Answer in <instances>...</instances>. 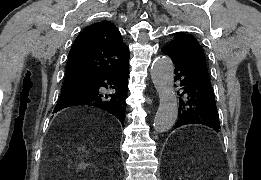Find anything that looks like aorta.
Wrapping results in <instances>:
<instances>
[{
    "label": "aorta",
    "mask_w": 261,
    "mask_h": 180,
    "mask_svg": "<svg viewBox=\"0 0 261 180\" xmlns=\"http://www.w3.org/2000/svg\"><path fill=\"white\" fill-rule=\"evenodd\" d=\"M151 78L159 96L154 129L159 133L170 130L178 116V100L174 90V65L169 57H158L151 67Z\"/></svg>",
    "instance_id": "1"
}]
</instances>
